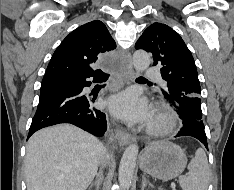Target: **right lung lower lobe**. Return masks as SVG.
I'll use <instances>...</instances> for the list:
<instances>
[{"mask_svg": "<svg viewBox=\"0 0 234 190\" xmlns=\"http://www.w3.org/2000/svg\"><path fill=\"white\" fill-rule=\"evenodd\" d=\"M108 77L101 70L84 69L49 79V83L41 87L28 138L41 128L59 123H71L96 136H103L107 128L106 115L93 107L95 98L83 95L82 90L91 85L89 78H93V82H103Z\"/></svg>", "mask_w": 234, "mask_h": 190, "instance_id": "98d812e1", "label": "right lung lower lobe"}]
</instances>
